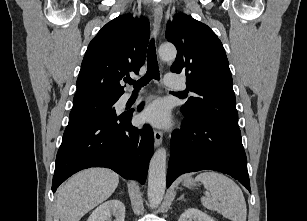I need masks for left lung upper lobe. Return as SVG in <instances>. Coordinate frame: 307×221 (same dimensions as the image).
Listing matches in <instances>:
<instances>
[{
    "label": "left lung upper lobe",
    "instance_id": "left-lung-upper-lobe-1",
    "mask_svg": "<svg viewBox=\"0 0 307 221\" xmlns=\"http://www.w3.org/2000/svg\"><path fill=\"white\" fill-rule=\"evenodd\" d=\"M166 38L177 48L171 66L185 73L190 97L181 112L185 117H207L240 131L232 75L221 41L205 24L185 14L168 23Z\"/></svg>",
    "mask_w": 307,
    "mask_h": 221
}]
</instances>
